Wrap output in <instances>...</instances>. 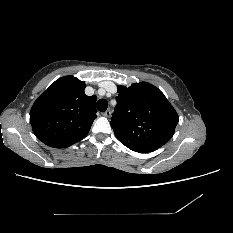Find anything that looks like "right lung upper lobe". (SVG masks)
I'll use <instances>...</instances> for the list:
<instances>
[{"instance_id": "right-lung-upper-lobe-1", "label": "right lung upper lobe", "mask_w": 233, "mask_h": 233, "mask_svg": "<svg viewBox=\"0 0 233 233\" xmlns=\"http://www.w3.org/2000/svg\"><path fill=\"white\" fill-rule=\"evenodd\" d=\"M73 76L56 80L33 104L30 123L36 137L54 148H66L87 136L96 113V96Z\"/></svg>"}]
</instances>
